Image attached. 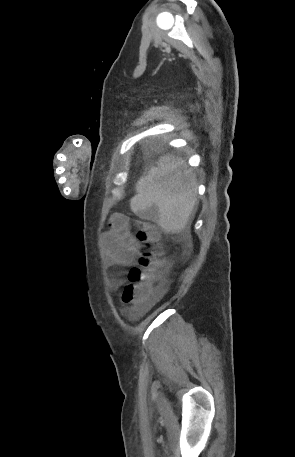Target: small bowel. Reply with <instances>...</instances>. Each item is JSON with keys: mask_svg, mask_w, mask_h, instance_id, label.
Returning <instances> with one entry per match:
<instances>
[{"mask_svg": "<svg viewBox=\"0 0 295 457\" xmlns=\"http://www.w3.org/2000/svg\"><path fill=\"white\" fill-rule=\"evenodd\" d=\"M103 243L108 259L114 265L133 266L140 255V241L131 230L129 218L120 213H114L111 216L109 230L103 235ZM120 285V280H115L113 283L114 288ZM166 291L165 282H160L156 287L153 285L152 293L142 311L163 296Z\"/></svg>", "mask_w": 295, "mask_h": 457, "instance_id": "obj_1", "label": "small bowel"}]
</instances>
